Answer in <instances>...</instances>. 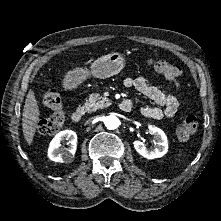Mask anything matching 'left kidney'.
Here are the masks:
<instances>
[{
  "label": "left kidney",
  "mask_w": 221,
  "mask_h": 221,
  "mask_svg": "<svg viewBox=\"0 0 221 221\" xmlns=\"http://www.w3.org/2000/svg\"><path fill=\"white\" fill-rule=\"evenodd\" d=\"M149 132L154 135L157 140V147L154 149H147L145 144L141 141H134L133 145L135 150L147 159H155L164 156L168 151V140L163 130L155 125L148 126Z\"/></svg>",
  "instance_id": "1"
}]
</instances>
